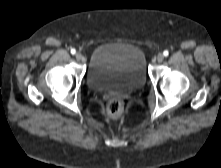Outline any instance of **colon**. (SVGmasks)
Listing matches in <instances>:
<instances>
[{"label":"colon","mask_w":221,"mask_h":168,"mask_svg":"<svg viewBox=\"0 0 221 168\" xmlns=\"http://www.w3.org/2000/svg\"><path fill=\"white\" fill-rule=\"evenodd\" d=\"M107 110H108V113L112 117H114V118L121 117L123 112H124L123 101L120 98H118V97L112 98L108 102Z\"/></svg>","instance_id":"1"}]
</instances>
